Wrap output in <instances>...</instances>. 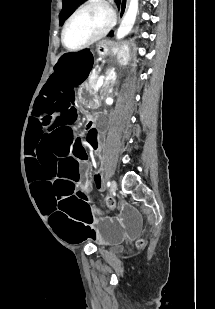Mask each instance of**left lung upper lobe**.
Here are the masks:
<instances>
[{
    "instance_id": "1",
    "label": "left lung upper lobe",
    "mask_w": 215,
    "mask_h": 309,
    "mask_svg": "<svg viewBox=\"0 0 215 309\" xmlns=\"http://www.w3.org/2000/svg\"><path fill=\"white\" fill-rule=\"evenodd\" d=\"M84 0H63V10L60 14V21H63L67 18V16L72 12V10ZM118 6L120 5V0H116ZM112 35V34H110Z\"/></svg>"
}]
</instances>
